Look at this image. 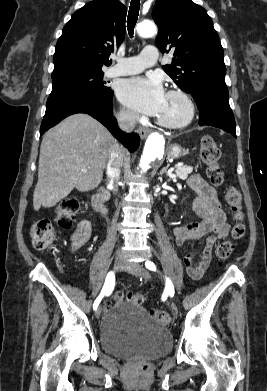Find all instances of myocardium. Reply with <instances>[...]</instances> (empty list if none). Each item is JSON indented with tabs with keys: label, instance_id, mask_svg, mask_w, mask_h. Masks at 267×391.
Masks as SVG:
<instances>
[{
	"label": "myocardium",
	"instance_id": "myocardium-1",
	"mask_svg": "<svg viewBox=\"0 0 267 391\" xmlns=\"http://www.w3.org/2000/svg\"><path fill=\"white\" fill-rule=\"evenodd\" d=\"M167 95L180 98L186 105L187 113L182 120L176 122L158 117L157 118L158 123L170 129H182L187 127L194 120L195 113H196L195 104L192 98L186 92L180 89H172L168 91Z\"/></svg>",
	"mask_w": 267,
	"mask_h": 391
}]
</instances>
